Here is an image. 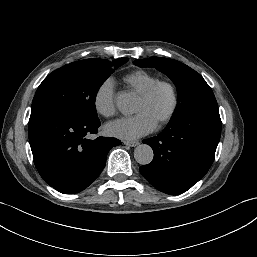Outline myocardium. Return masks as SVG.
<instances>
[{"mask_svg": "<svg viewBox=\"0 0 257 257\" xmlns=\"http://www.w3.org/2000/svg\"><path fill=\"white\" fill-rule=\"evenodd\" d=\"M160 88H166L169 91L171 97V105L165 116L157 123V126L159 127L169 123L178 110L179 96L175 85L168 80L158 79L138 96L139 99L147 101L151 99Z\"/></svg>", "mask_w": 257, "mask_h": 257, "instance_id": "obj_1", "label": "myocardium"}]
</instances>
